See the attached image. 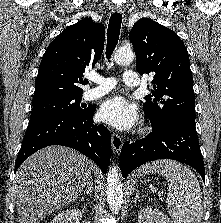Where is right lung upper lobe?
I'll use <instances>...</instances> for the list:
<instances>
[{
    "mask_svg": "<svg viewBox=\"0 0 221 223\" xmlns=\"http://www.w3.org/2000/svg\"><path fill=\"white\" fill-rule=\"evenodd\" d=\"M104 38V25L90 18L64 29L42 58L33 103L82 94L80 86L88 83L82 74L99 60Z\"/></svg>",
    "mask_w": 221,
    "mask_h": 223,
    "instance_id": "cb5924a9",
    "label": "right lung upper lobe"
}]
</instances>
